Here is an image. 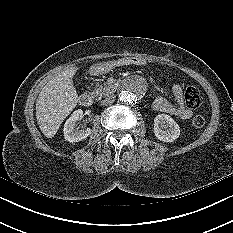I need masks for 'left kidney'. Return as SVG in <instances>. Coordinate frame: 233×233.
Instances as JSON below:
<instances>
[{
    "instance_id": "left-kidney-1",
    "label": "left kidney",
    "mask_w": 233,
    "mask_h": 233,
    "mask_svg": "<svg viewBox=\"0 0 233 233\" xmlns=\"http://www.w3.org/2000/svg\"><path fill=\"white\" fill-rule=\"evenodd\" d=\"M153 132L163 142H173L180 135L179 125L167 114H159L154 119Z\"/></svg>"
}]
</instances>
